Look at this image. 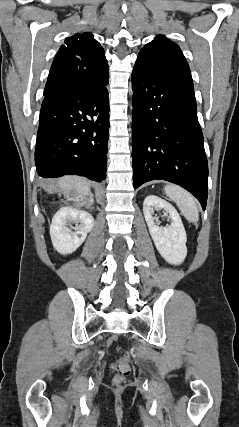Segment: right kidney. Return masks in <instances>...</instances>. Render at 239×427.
Masks as SVG:
<instances>
[{
    "instance_id": "right-kidney-1",
    "label": "right kidney",
    "mask_w": 239,
    "mask_h": 427,
    "mask_svg": "<svg viewBox=\"0 0 239 427\" xmlns=\"http://www.w3.org/2000/svg\"><path fill=\"white\" fill-rule=\"evenodd\" d=\"M75 223V232L67 226ZM94 226V219L86 211L63 207L54 215L50 226L53 247L60 254L73 253L86 239Z\"/></svg>"
}]
</instances>
